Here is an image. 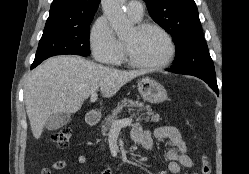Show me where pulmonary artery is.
<instances>
[{
  "mask_svg": "<svg viewBox=\"0 0 249 174\" xmlns=\"http://www.w3.org/2000/svg\"><path fill=\"white\" fill-rule=\"evenodd\" d=\"M126 11L129 17L135 21H139L143 16V5L138 0H130L126 5Z\"/></svg>",
  "mask_w": 249,
  "mask_h": 174,
  "instance_id": "1",
  "label": "pulmonary artery"
}]
</instances>
